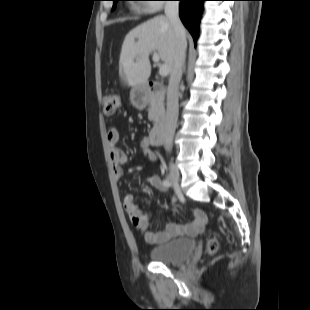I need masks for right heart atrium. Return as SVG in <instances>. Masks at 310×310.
<instances>
[{
	"instance_id": "1",
	"label": "right heart atrium",
	"mask_w": 310,
	"mask_h": 310,
	"mask_svg": "<svg viewBox=\"0 0 310 310\" xmlns=\"http://www.w3.org/2000/svg\"><path fill=\"white\" fill-rule=\"evenodd\" d=\"M148 1H152L154 3L148 4L147 7H146L147 10H149V11H159L162 8L161 1H159V0H148Z\"/></svg>"
}]
</instances>
